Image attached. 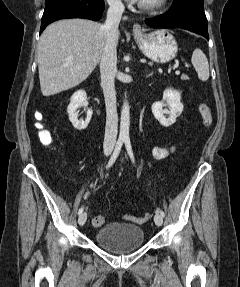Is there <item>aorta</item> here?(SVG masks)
Returning a JSON list of instances; mask_svg holds the SVG:
<instances>
[{"label": "aorta", "mask_w": 240, "mask_h": 287, "mask_svg": "<svg viewBox=\"0 0 240 287\" xmlns=\"http://www.w3.org/2000/svg\"><path fill=\"white\" fill-rule=\"evenodd\" d=\"M129 127H130V107L127 101H124L121 109V121H120V134L119 139H129Z\"/></svg>", "instance_id": "obj_1"}]
</instances>
